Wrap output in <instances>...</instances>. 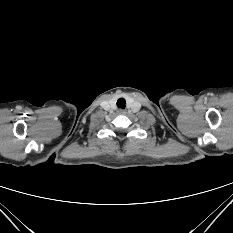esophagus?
I'll return each instance as SVG.
<instances>
[{
  "mask_svg": "<svg viewBox=\"0 0 233 233\" xmlns=\"http://www.w3.org/2000/svg\"><path fill=\"white\" fill-rule=\"evenodd\" d=\"M118 113L119 114H125V111L124 110H119Z\"/></svg>",
  "mask_w": 233,
  "mask_h": 233,
  "instance_id": "1",
  "label": "esophagus"
}]
</instances>
